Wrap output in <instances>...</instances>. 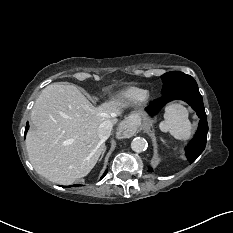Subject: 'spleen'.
Returning <instances> with one entry per match:
<instances>
[{
  "mask_svg": "<svg viewBox=\"0 0 233 233\" xmlns=\"http://www.w3.org/2000/svg\"><path fill=\"white\" fill-rule=\"evenodd\" d=\"M163 132H169L175 139L190 138L192 125L187 109L180 104H170L165 108L164 120L159 124Z\"/></svg>",
  "mask_w": 233,
  "mask_h": 233,
  "instance_id": "3e777b00",
  "label": "spleen"
}]
</instances>
